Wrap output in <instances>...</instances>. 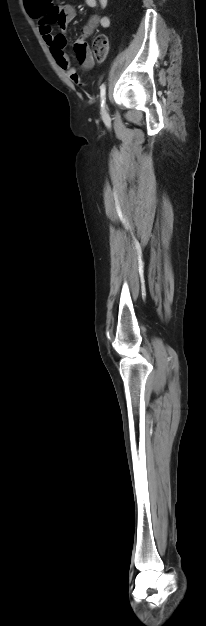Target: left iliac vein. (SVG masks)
Listing matches in <instances>:
<instances>
[{"instance_id":"left-iliac-vein-1","label":"left iliac vein","mask_w":206,"mask_h":626,"mask_svg":"<svg viewBox=\"0 0 206 626\" xmlns=\"http://www.w3.org/2000/svg\"><path fill=\"white\" fill-rule=\"evenodd\" d=\"M102 114H103V116L107 115V110H106L105 106H103V108H102Z\"/></svg>"}]
</instances>
